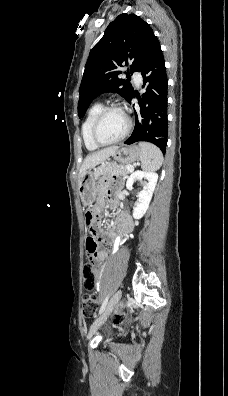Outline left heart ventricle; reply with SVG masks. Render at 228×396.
Wrapping results in <instances>:
<instances>
[{"instance_id":"1","label":"left heart ventricle","mask_w":228,"mask_h":396,"mask_svg":"<svg viewBox=\"0 0 228 396\" xmlns=\"http://www.w3.org/2000/svg\"><path fill=\"white\" fill-rule=\"evenodd\" d=\"M127 120L120 110H111L103 117L98 130L99 138L111 141L118 138L125 131Z\"/></svg>"}]
</instances>
